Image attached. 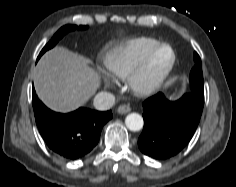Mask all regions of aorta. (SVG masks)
<instances>
[{"label": "aorta", "instance_id": "aorta-1", "mask_svg": "<svg viewBox=\"0 0 236 187\" xmlns=\"http://www.w3.org/2000/svg\"><path fill=\"white\" fill-rule=\"evenodd\" d=\"M143 118L138 113H130L125 118V125L131 131H139L143 128Z\"/></svg>", "mask_w": 236, "mask_h": 187}]
</instances>
